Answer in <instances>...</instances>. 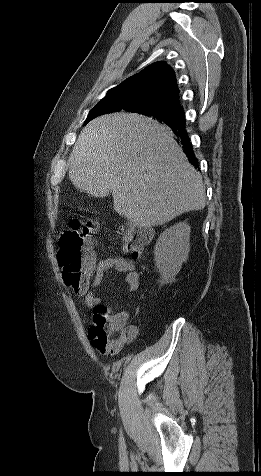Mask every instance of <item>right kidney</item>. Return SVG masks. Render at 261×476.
<instances>
[{
  "instance_id": "right-kidney-1",
  "label": "right kidney",
  "mask_w": 261,
  "mask_h": 476,
  "mask_svg": "<svg viewBox=\"0 0 261 476\" xmlns=\"http://www.w3.org/2000/svg\"><path fill=\"white\" fill-rule=\"evenodd\" d=\"M190 226L180 222L166 229L154 247L155 266L166 279H173L189 253Z\"/></svg>"
}]
</instances>
